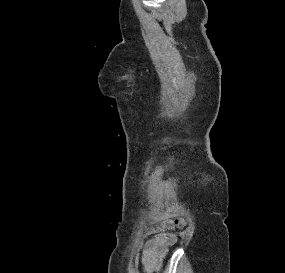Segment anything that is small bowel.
<instances>
[{"instance_id": "1", "label": "small bowel", "mask_w": 285, "mask_h": 273, "mask_svg": "<svg viewBox=\"0 0 285 273\" xmlns=\"http://www.w3.org/2000/svg\"><path fill=\"white\" fill-rule=\"evenodd\" d=\"M166 227H170L171 223L166 222ZM176 239L173 235L165 234L152 241L145 247L142 255V262L146 272L150 273L157 268L167 255L168 249L175 243Z\"/></svg>"}]
</instances>
